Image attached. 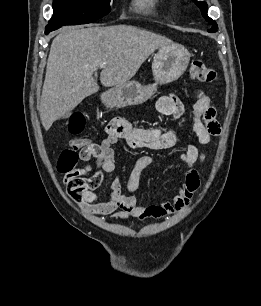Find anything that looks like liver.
<instances>
[{
	"label": "liver",
	"mask_w": 261,
	"mask_h": 306,
	"mask_svg": "<svg viewBox=\"0 0 261 306\" xmlns=\"http://www.w3.org/2000/svg\"><path fill=\"white\" fill-rule=\"evenodd\" d=\"M172 43L129 25L63 28L51 44L38 107L44 129L99 90L93 77L99 68L104 87L126 83L155 50Z\"/></svg>",
	"instance_id": "1"
}]
</instances>
